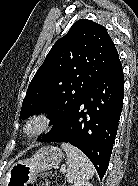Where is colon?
Returning a JSON list of instances; mask_svg holds the SVG:
<instances>
[{"mask_svg":"<svg viewBox=\"0 0 138 186\" xmlns=\"http://www.w3.org/2000/svg\"><path fill=\"white\" fill-rule=\"evenodd\" d=\"M34 186H65V178L56 171L45 172L38 176Z\"/></svg>","mask_w":138,"mask_h":186,"instance_id":"obj_1","label":"colon"}]
</instances>
